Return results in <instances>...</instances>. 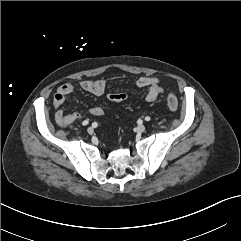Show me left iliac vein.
I'll use <instances>...</instances> for the list:
<instances>
[{
	"mask_svg": "<svg viewBox=\"0 0 241 241\" xmlns=\"http://www.w3.org/2000/svg\"><path fill=\"white\" fill-rule=\"evenodd\" d=\"M145 129H146V127L143 124H140L137 126V131L140 133L144 132Z\"/></svg>",
	"mask_w": 241,
	"mask_h": 241,
	"instance_id": "obj_1",
	"label": "left iliac vein"
}]
</instances>
